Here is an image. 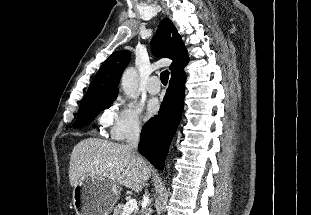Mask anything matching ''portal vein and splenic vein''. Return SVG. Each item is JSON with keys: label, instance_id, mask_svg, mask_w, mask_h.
Returning a JSON list of instances; mask_svg holds the SVG:
<instances>
[{"label": "portal vein and splenic vein", "instance_id": "1", "mask_svg": "<svg viewBox=\"0 0 311 215\" xmlns=\"http://www.w3.org/2000/svg\"><path fill=\"white\" fill-rule=\"evenodd\" d=\"M137 208L136 199H131L124 205L122 215H130Z\"/></svg>", "mask_w": 311, "mask_h": 215}]
</instances>
